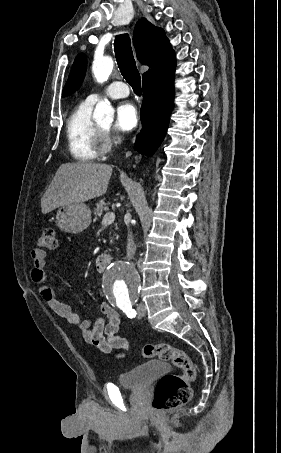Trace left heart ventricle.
I'll list each match as a JSON object with an SVG mask.
<instances>
[{"label": "left heart ventricle", "instance_id": "b2bd125f", "mask_svg": "<svg viewBox=\"0 0 281 453\" xmlns=\"http://www.w3.org/2000/svg\"><path fill=\"white\" fill-rule=\"evenodd\" d=\"M102 128H105V129H108L109 128V124H106V125H100Z\"/></svg>", "mask_w": 281, "mask_h": 453}]
</instances>
